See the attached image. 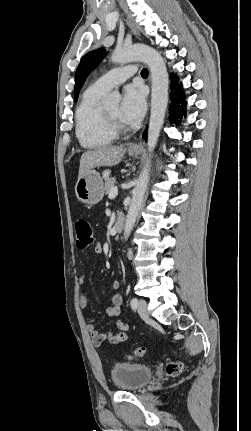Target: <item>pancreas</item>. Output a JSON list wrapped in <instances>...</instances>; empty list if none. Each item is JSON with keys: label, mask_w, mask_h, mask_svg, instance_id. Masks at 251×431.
<instances>
[{"label": "pancreas", "mask_w": 251, "mask_h": 431, "mask_svg": "<svg viewBox=\"0 0 251 431\" xmlns=\"http://www.w3.org/2000/svg\"><path fill=\"white\" fill-rule=\"evenodd\" d=\"M104 180H105V191L106 194H109L112 188L114 187L115 178L109 177V171L105 172L104 174Z\"/></svg>", "instance_id": "pancreas-1"}]
</instances>
